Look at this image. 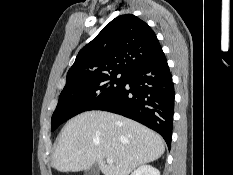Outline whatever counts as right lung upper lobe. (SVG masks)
<instances>
[{"instance_id": "obj_1", "label": "right lung upper lobe", "mask_w": 233, "mask_h": 175, "mask_svg": "<svg viewBox=\"0 0 233 175\" xmlns=\"http://www.w3.org/2000/svg\"><path fill=\"white\" fill-rule=\"evenodd\" d=\"M162 53L155 33L144 21L132 14L121 15L80 50L66 82L110 72L128 74Z\"/></svg>"}]
</instances>
